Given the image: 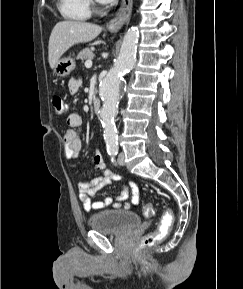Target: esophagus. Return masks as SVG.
<instances>
[{"instance_id": "34e87169", "label": "esophagus", "mask_w": 243, "mask_h": 289, "mask_svg": "<svg viewBox=\"0 0 243 289\" xmlns=\"http://www.w3.org/2000/svg\"><path fill=\"white\" fill-rule=\"evenodd\" d=\"M133 0H122L115 16L107 24L110 32H117L127 21L132 13Z\"/></svg>"}]
</instances>
